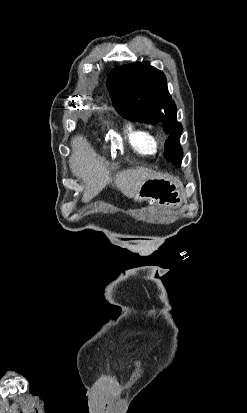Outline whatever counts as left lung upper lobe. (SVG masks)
Returning a JSON list of instances; mask_svg holds the SVG:
<instances>
[{
  "mask_svg": "<svg viewBox=\"0 0 247 413\" xmlns=\"http://www.w3.org/2000/svg\"><path fill=\"white\" fill-rule=\"evenodd\" d=\"M107 86L115 108L126 117L144 123H163L164 131L170 134L164 156L179 166L183 157V128L176 119L177 109L164 73L147 62L128 64L110 72Z\"/></svg>",
  "mask_w": 247,
  "mask_h": 413,
  "instance_id": "obj_1",
  "label": "left lung upper lobe"
}]
</instances>
